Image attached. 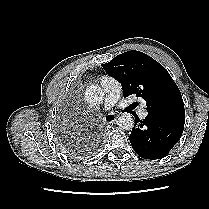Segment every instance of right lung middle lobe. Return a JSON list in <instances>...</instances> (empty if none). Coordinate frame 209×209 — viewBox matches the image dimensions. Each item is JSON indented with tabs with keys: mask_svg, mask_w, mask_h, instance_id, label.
<instances>
[{
	"mask_svg": "<svg viewBox=\"0 0 209 209\" xmlns=\"http://www.w3.org/2000/svg\"><path fill=\"white\" fill-rule=\"evenodd\" d=\"M66 149L72 154V153H74V148L72 149V148H70V147H66Z\"/></svg>",
	"mask_w": 209,
	"mask_h": 209,
	"instance_id": "1",
	"label": "right lung middle lobe"
}]
</instances>
